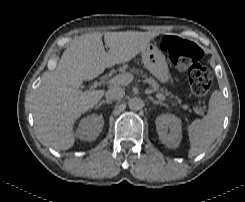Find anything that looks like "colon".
<instances>
[{"mask_svg": "<svg viewBox=\"0 0 245 202\" xmlns=\"http://www.w3.org/2000/svg\"><path fill=\"white\" fill-rule=\"evenodd\" d=\"M160 44L172 65L180 72L187 73L192 93L197 97L207 94L212 86L213 76L200 65L201 49L191 41L172 35L164 36Z\"/></svg>", "mask_w": 245, "mask_h": 202, "instance_id": "5ec220e1", "label": "colon"}]
</instances>
